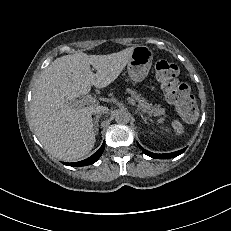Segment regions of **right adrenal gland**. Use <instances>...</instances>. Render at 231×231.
<instances>
[{"label": "right adrenal gland", "mask_w": 231, "mask_h": 231, "mask_svg": "<svg viewBox=\"0 0 231 231\" xmlns=\"http://www.w3.org/2000/svg\"><path fill=\"white\" fill-rule=\"evenodd\" d=\"M100 117H101V114L97 115L93 121L94 130H95L96 134H98V132H99V119H100Z\"/></svg>", "instance_id": "2a0ac1e0"}]
</instances>
